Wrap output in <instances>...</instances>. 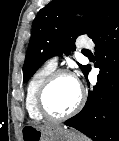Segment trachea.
Returning <instances> with one entry per match:
<instances>
[{
    "mask_svg": "<svg viewBox=\"0 0 119 141\" xmlns=\"http://www.w3.org/2000/svg\"><path fill=\"white\" fill-rule=\"evenodd\" d=\"M83 52H90L89 50H83Z\"/></svg>",
    "mask_w": 119,
    "mask_h": 141,
    "instance_id": "obj_1",
    "label": "trachea"
}]
</instances>
